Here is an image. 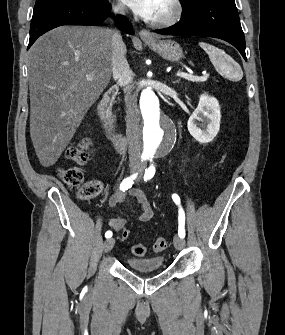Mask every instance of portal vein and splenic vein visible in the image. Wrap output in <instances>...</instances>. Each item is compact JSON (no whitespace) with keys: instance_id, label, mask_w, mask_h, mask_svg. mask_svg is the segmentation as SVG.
Returning a JSON list of instances; mask_svg holds the SVG:
<instances>
[{"instance_id":"1","label":"portal vein and splenic vein","mask_w":285,"mask_h":335,"mask_svg":"<svg viewBox=\"0 0 285 335\" xmlns=\"http://www.w3.org/2000/svg\"><path fill=\"white\" fill-rule=\"evenodd\" d=\"M176 76L185 78V80H191V82H206L207 78H209V74H205V76H192V74H185V72H177ZM86 80H93L92 74H87Z\"/></svg>"}]
</instances>
